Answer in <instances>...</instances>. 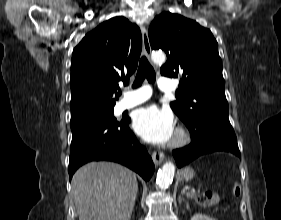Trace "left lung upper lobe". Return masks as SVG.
<instances>
[{"label": "left lung upper lobe", "instance_id": "obj_1", "mask_svg": "<svg viewBox=\"0 0 281 220\" xmlns=\"http://www.w3.org/2000/svg\"><path fill=\"white\" fill-rule=\"evenodd\" d=\"M151 47L162 49L167 62L161 74L180 77L177 100L172 110L187 127L205 117L228 119V102L218 43L211 31L196 21L163 12L149 28Z\"/></svg>", "mask_w": 281, "mask_h": 220}]
</instances>
